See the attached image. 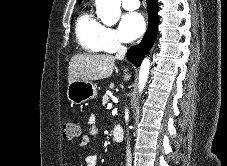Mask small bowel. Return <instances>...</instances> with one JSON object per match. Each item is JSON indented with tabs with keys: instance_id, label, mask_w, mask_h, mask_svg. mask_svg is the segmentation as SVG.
I'll return each instance as SVG.
<instances>
[{
	"instance_id": "small-bowel-1",
	"label": "small bowel",
	"mask_w": 227,
	"mask_h": 166,
	"mask_svg": "<svg viewBox=\"0 0 227 166\" xmlns=\"http://www.w3.org/2000/svg\"><path fill=\"white\" fill-rule=\"evenodd\" d=\"M96 117L92 114L87 123V131L88 135L83 136L80 146H86L91 141V136H95L98 134V128L96 126ZM86 166H97V155L96 154H88L84 157Z\"/></svg>"
}]
</instances>
